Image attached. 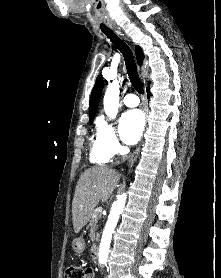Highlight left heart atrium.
<instances>
[{"instance_id": "39dd6f15", "label": "left heart atrium", "mask_w": 221, "mask_h": 278, "mask_svg": "<svg viewBox=\"0 0 221 278\" xmlns=\"http://www.w3.org/2000/svg\"><path fill=\"white\" fill-rule=\"evenodd\" d=\"M145 125L144 115L140 110L125 112L120 118V134L126 144H135L141 137Z\"/></svg>"}]
</instances>
